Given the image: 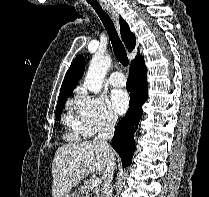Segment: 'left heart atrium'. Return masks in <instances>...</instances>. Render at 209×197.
Here are the masks:
<instances>
[{"instance_id":"left-heart-atrium-1","label":"left heart atrium","mask_w":209,"mask_h":197,"mask_svg":"<svg viewBox=\"0 0 209 197\" xmlns=\"http://www.w3.org/2000/svg\"><path fill=\"white\" fill-rule=\"evenodd\" d=\"M129 96L123 90H114L110 96V107L117 114H123L129 106Z\"/></svg>"}]
</instances>
